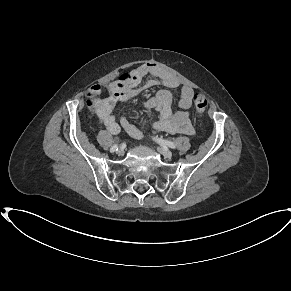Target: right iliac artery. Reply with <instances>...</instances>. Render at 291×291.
Returning a JSON list of instances; mask_svg holds the SVG:
<instances>
[{
  "label": "right iliac artery",
  "instance_id": "right-iliac-artery-1",
  "mask_svg": "<svg viewBox=\"0 0 291 291\" xmlns=\"http://www.w3.org/2000/svg\"><path fill=\"white\" fill-rule=\"evenodd\" d=\"M118 150V145L115 144L110 148V152H116Z\"/></svg>",
  "mask_w": 291,
  "mask_h": 291
}]
</instances>
